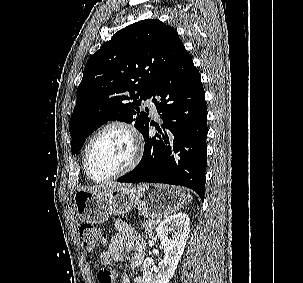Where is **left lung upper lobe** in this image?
Listing matches in <instances>:
<instances>
[{"label": "left lung upper lobe", "mask_w": 303, "mask_h": 283, "mask_svg": "<svg viewBox=\"0 0 303 283\" xmlns=\"http://www.w3.org/2000/svg\"><path fill=\"white\" fill-rule=\"evenodd\" d=\"M184 49L176 29L157 19L135 22L104 43L88 60L77 89L69 124L72 153L108 120L134 122L142 132L149 118L139 110L141 101L152 97Z\"/></svg>", "instance_id": "obj_1"}]
</instances>
